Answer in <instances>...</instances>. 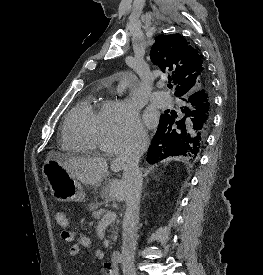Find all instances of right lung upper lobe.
<instances>
[{"mask_svg":"<svg viewBox=\"0 0 263 275\" xmlns=\"http://www.w3.org/2000/svg\"><path fill=\"white\" fill-rule=\"evenodd\" d=\"M153 64L171 75L169 80L176 85L175 96L191 94L208 86L206 68L199 52L180 34L158 35L150 51ZM205 109L208 121H212L213 97L208 91Z\"/></svg>","mask_w":263,"mask_h":275,"instance_id":"1","label":"right lung upper lobe"}]
</instances>
